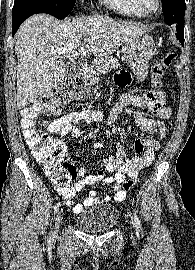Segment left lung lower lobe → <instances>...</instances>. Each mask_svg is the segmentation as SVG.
<instances>
[{"label": "left lung lower lobe", "instance_id": "obj_1", "mask_svg": "<svg viewBox=\"0 0 195 270\" xmlns=\"http://www.w3.org/2000/svg\"><path fill=\"white\" fill-rule=\"evenodd\" d=\"M176 27V37L181 42L182 46L184 45V23L173 24Z\"/></svg>", "mask_w": 195, "mask_h": 270}]
</instances>
